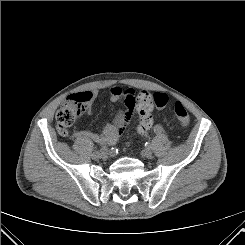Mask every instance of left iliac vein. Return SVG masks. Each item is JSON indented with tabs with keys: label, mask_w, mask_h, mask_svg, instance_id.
<instances>
[{
	"label": "left iliac vein",
	"mask_w": 245,
	"mask_h": 245,
	"mask_svg": "<svg viewBox=\"0 0 245 245\" xmlns=\"http://www.w3.org/2000/svg\"><path fill=\"white\" fill-rule=\"evenodd\" d=\"M142 155L148 159L152 158L153 153L150 149H145L142 151Z\"/></svg>",
	"instance_id": "obj_1"
}]
</instances>
